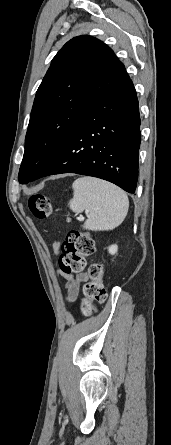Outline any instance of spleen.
<instances>
[{"mask_svg":"<svg viewBox=\"0 0 171 445\" xmlns=\"http://www.w3.org/2000/svg\"><path fill=\"white\" fill-rule=\"evenodd\" d=\"M69 202L75 213L89 212L84 228L92 231L113 230L125 219L129 200L119 187L93 177H81L73 184Z\"/></svg>","mask_w":171,"mask_h":445,"instance_id":"spleen-1","label":"spleen"}]
</instances>
